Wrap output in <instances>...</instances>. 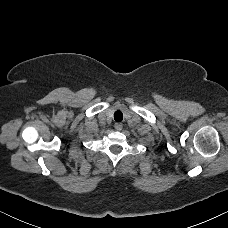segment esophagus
<instances>
[{"label":"esophagus","mask_w":228,"mask_h":228,"mask_svg":"<svg viewBox=\"0 0 228 228\" xmlns=\"http://www.w3.org/2000/svg\"><path fill=\"white\" fill-rule=\"evenodd\" d=\"M114 127H115V130H116V131H120V130L122 129V124L116 123V124L114 125Z\"/></svg>","instance_id":"34e87169"}]
</instances>
